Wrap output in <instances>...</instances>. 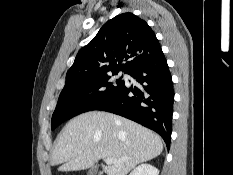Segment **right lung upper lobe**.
<instances>
[{
	"label": "right lung upper lobe",
	"mask_w": 233,
	"mask_h": 175,
	"mask_svg": "<svg viewBox=\"0 0 233 175\" xmlns=\"http://www.w3.org/2000/svg\"><path fill=\"white\" fill-rule=\"evenodd\" d=\"M160 53L155 33L144 20L132 13L117 15L78 52L66 82L115 71L128 73ZM123 60L127 62L121 64Z\"/></svg>",
	"instance_id": "obj_1"
}]
</instances>
